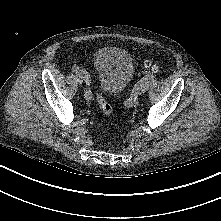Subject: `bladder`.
<instances>
[{"instance_id": "1", "label": "bladder", "mask_w": 221, "mask_h": 221, "mask_svg": "<svg viewBox=\"0 0 221 221\" xmlns=\"http://www.w3.org/2000/svg\"><path fill=\"white\" fill-rule=\"evenodd\" d=\"M101 89L109 95H118L131 81L134 65L129 53L121 48L107 46L98 49L93 57Z\"/></svg>"}]
</instances>
